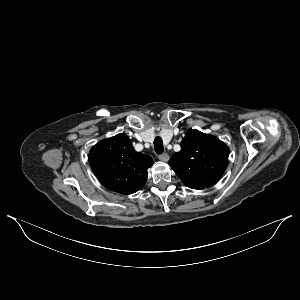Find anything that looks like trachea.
Masks as SVG:
<instances>
[{
  "mask_svg": "<svg viewBox=\"0 0 300 300\" xmlns=\"http://www.w3.org/2000/svg\"><path fill=\"white\" fill-rule=\"evenodd\" d=\"M154 149H155V152L159 155L163 153L164 147H163V141H162L161 137H156L154 139Z\"/></svg>",
  "mask_w": 300,
  "mask_h": 300,
  "instance_id": "obj_1",
  "label": "trachea"
}]
</instances>
